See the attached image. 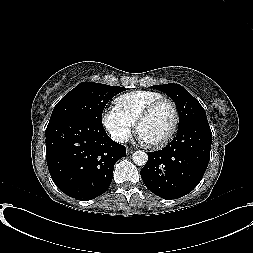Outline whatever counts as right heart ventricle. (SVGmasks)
<instances>
[{
	"mask_svg": "<svg viewBox=\"0 0 253 253\" xmlns=\"http://www.w3.org/2000/svg\"><path fill=\"white\" fill-rule=\"evenodd\" d=\"M163 98L155 91L136 90L119 96L116 101V107L124 113L132 122H136L140 112L154 100Z\"/></svg>",
	"mask_w": 253,
	"mask_h": 253,
	"instance_id": "right-heart-ventricle-1",
	"label": "right heart ventricle"
}]
</instances>
